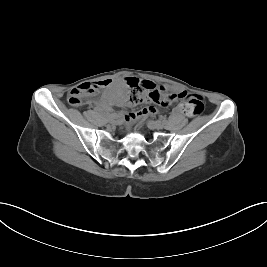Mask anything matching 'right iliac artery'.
Masks as SVG:
<instances>
[{
    "label": "right iliac artery",
    "mask_w": 267,
    "mask_h": 267,
    "mask_svg": "<svg viewBox=\"0 0 267 267\" xmlns=\"http://www.w3.org/2000/svg\"><path fill=\"white\" fill-rule=\"evenodd\" d=\"M104 117L107 118L108 120H112V119L117 118L118 114L117 113L107 114V115H104Z\"/></svg>",
    "instance_id": "1"
}]
</instances>
